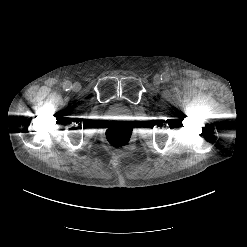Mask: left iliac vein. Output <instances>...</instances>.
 <instances>
[{
	"instance_id": "1",
	"label": "left iliac vein",
	"mask_w": 247,
	"mask_h": 247,
	"mask_svg": "<svg viewBox=\"0 0 247 247\" xmlns=\"http://www.w3.org/2000/svg\"><path fill=\"white\" fill-rule=\"evenodd\" d=\"M153 83L155 86H158L161 83V78L160 76L156 75L153 79Z\"/></svg>"
}]
</instances>
